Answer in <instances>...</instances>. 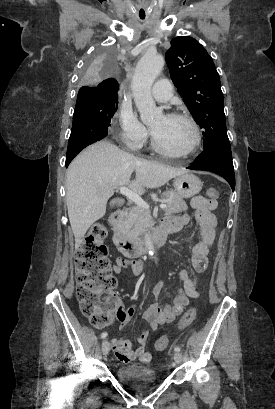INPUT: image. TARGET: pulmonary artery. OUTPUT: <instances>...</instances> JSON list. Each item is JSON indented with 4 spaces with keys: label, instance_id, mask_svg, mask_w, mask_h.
<instances>
[{
    "label": "pulmonary artery",
    "instance_id": "e3ab8cb5",
    "mask_svg": "<svg viewBox=\"0 0 275 409\" xmlns=\"http://www.w3.org/2000/svg\"><path fill=\"white\" fill-rule=\"evenodd\" d=\"M174 86L170 85L169 79H158L157 85L152 87V93L156 100L160 102L167 101L174 93Z\"/></svg>",
    "mask_w": 275,
    "mask_h": 409
}]
</instances>
